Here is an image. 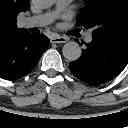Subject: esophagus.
<instances>
[{
	"mask_svg": "<svg viewBox=\"0 0 128 128\" xmlns=\"http://www.w3.org/2000/svg\"><path fill=\"white\" fill-rule=\"evenodd\" d=\"M66 41H67V38L66 37L59 36V35L53 36L50 39V42L52 44H62V43H65Z\"/></svg>",
	"mask_w": 128,
	"mask_h": 128,
	"instance_id": "obj_1",
	"label": "esophagus"
}]
</instances>
